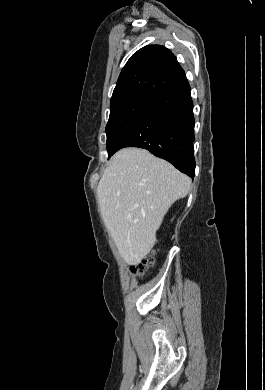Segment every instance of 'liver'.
I'll return each mask as SVG.
<instances>
[{"label": "liver", "instance_id": "liver-1", "mask_svg": "<svg viewBox=\"0 0 265 390\" xmlns=\"http://www.w3.org/2000/svg\"><path fill=\"white\" fill-rule=\"evenodd\" d=\"M191 179L140 148L118 151L99 181L106 228L128 265H137L156 242L165 214L190 190Z\"/></svg>", "mask_w": 265, "mask_h": 390}]
</instances>
